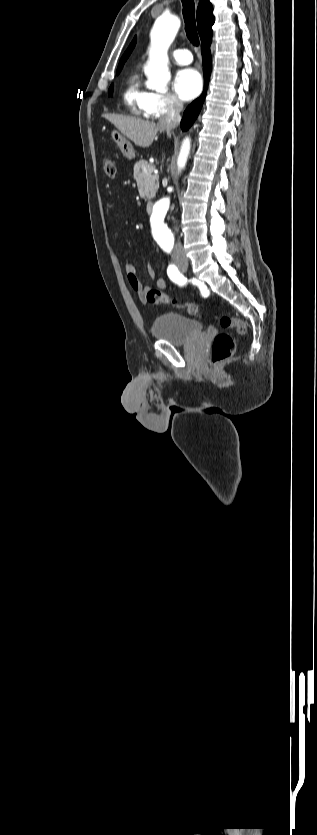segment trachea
Here are the masks:
<instances>
[{
	"label": "trachea",
	"instance_id": "obj_1",
	"mask_svg": "<svg viewBox=\"0 0 317 835\" xmlns=\"http://www.w3.org/2000/svg\"><path fill=\"white\" fill-rule=\"evenodd\" d=\"M181 2L183 5V17L187 37L194 46H198L199 37L196 31L194 0H181Z\"/></svg>",
	"mask_w": 317,
	"mask_h": 835
}]
</instances>
